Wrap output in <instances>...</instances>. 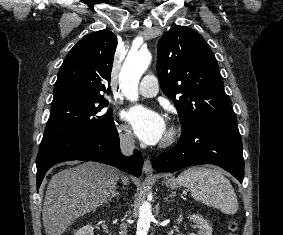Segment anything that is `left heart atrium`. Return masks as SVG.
<instances>
[{"label": "left heart atrium", "mask_w": 283, "mask_h": 235, "mask_svg": "<svg viewBox=\"0 0 283 235\" xmlns=\"http://www.w3.org/2000/svg\"><path fill=\"white\" fill-rule=\"evenodd\" d=\"M125 118L132 124L137 136L146 144H156L166 132L164 118L157 112L142 106L128 109Z\"/></svg>", "instance_id": "left-heart-atrium-1"}]
</instances>
